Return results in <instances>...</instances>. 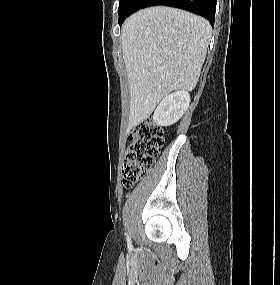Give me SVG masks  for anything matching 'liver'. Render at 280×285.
Returning <instances> with one entry per match:
<instances>
[{
  "label": "liver",
  "mask_w": 280,
  "mask_h": 285,
  "mask_svg": "<svg viewBox=\"0 0 280 285\" xmlns=\"http://www.w3.org/2000/svg\"><path fill=\"white\" fill-rule=\"evenodd\" d=\"M211 38L200 16L170 7H150L126 19L121 46L129 92V127L146 120L175 90H192Z\"/></svg>",
  "instance_id": "1"
}]
</instances>
